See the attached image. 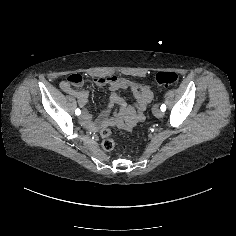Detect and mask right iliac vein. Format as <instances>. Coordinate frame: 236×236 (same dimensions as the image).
I'll return each mask as SVG.
<instances>
[{"mask_svg": "<svg viewBox=\"0 0 236 236\" xmlns=\"http://www.w3.org/2000/svg\"><path fill=\"white\" fill-rule=\"evenodd\" d=\"M87 115V113L83 112L82 113V117H85Z\"/></svg>", "mask_w": 236, "mask_h": 236, "instance_id": "1", "label": "right iliac vein"}]
</instances>
